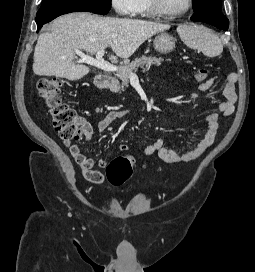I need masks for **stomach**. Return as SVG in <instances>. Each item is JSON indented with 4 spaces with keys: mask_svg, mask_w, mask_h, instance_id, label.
I'll return each mask as SVG.
<instances>
[{
    "mask_svg": "<svg viewBox=\"0 0 255 272\" xmlns=\"http://www.w3.org/2000/svg\"><path fill=\"white\" fill-rule=\"evenodd\" d=\"M175 41L176 39L171 34L162 32L155 37L153 45L157 52L168 54L175 49Z\"/></svg>",
    "mask_w": 255,
    "mask_h": 272,
    "instance_id": "0dacf381",
    "label": "stomach"
}]
</instances>
